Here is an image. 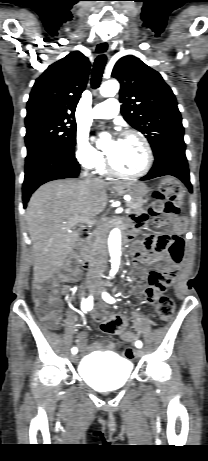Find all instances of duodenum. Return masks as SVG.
<instances>
[{
    "instance_id": "410a0bca",
    "label": "duodenum",
    "mask_w": 208,
    "mask_h": 461,
    "mask_svg": "<svg viewBox=\"0 0 208 461\" xmlns=\"http://www.w3.org/2000/svg\"><path fill=\"white\" fill-rule=\"evenodd\" d=\"M131 238H132V233L131 232L126 233L124 237L125 241H129ZM78 245L81 250L82 266L85 269H89L92 264L94 253L90 248L89 234L84 230H81L79 233Z\"/></svg>"
}]
</instances>
